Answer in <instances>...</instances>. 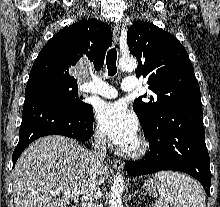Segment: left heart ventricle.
Segmentation results:
<instances>
[{"mask_svg": "<svg viewBox=\"0 0 220 207\" xmlns=\"http://www.w3.org/2000/svg\"><path fill=\"white\" fill-rule=\"evenodd\" d=\"M135 145H136V139H135L133 142H131L129 145H127V146L125 147V149H131V148H133Z\"/></svg>", "mask_w": 220, "mask_h": 207, "instance_id": "obj_1", "label": "left heart ventricle"}]
</instances>
